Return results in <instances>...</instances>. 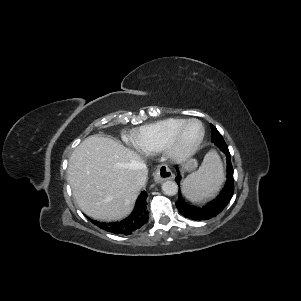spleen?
<instances>
[{
	"label": "spleen",
	"instance_id": "1",
	"mask_svg": "<svg viewBox=\"0 0 301 301\" xmlns=\"http://www.w3.org/2000/svg\"><path fill=\"white\" fill-rule=\"evenodd\" d=\"M224 181L223 166L215 151L208 152L200 168L188 175L182 183V190L187 199L201 202L214 196Z\"/></svg>",
	"mask_w": 301,
	"mask_h": 301
}]
</instances>
